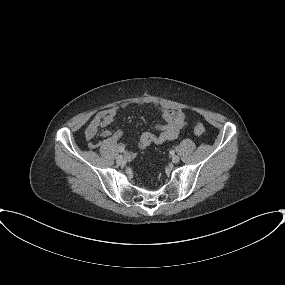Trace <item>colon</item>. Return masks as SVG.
<instances>
[{
	"instance_id": "colon-1",
	"label": "colon",
	"mask_w": 285,
	"mask_h": 285,
	"mask_svg": "<svg viewBox=\"0 0 285 285\" xmlns=\"http://www.w3.org/2000/svg\"><path fill=\"white\" fill-rule=\"evenodd\" d=\"M194 132L196 135L201 136L205 133V128L201 124H196L194 127Z\"/></svg>"
}]
</instances>
